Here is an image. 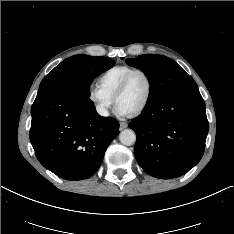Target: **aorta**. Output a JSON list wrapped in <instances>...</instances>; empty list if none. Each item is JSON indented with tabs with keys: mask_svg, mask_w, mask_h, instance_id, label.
<instances>
[{
	"mask_svg": "<svg viewBox=\"0 0 234 234\" xmlns=\"http://www.w3.org/2000/svg\"><path fill=\"white\" fill-rule=\"evenodd\" d=\"M119 140L123 145L131 146L136 141V134L131 129H125L119 134Z\"/></svg>",
	"mask_w": 234,
	"mask_h": 234,
	"instance_id": "obj_1",
	"label": "aorta"
}]
</instances>
